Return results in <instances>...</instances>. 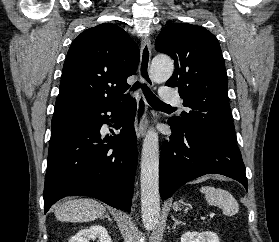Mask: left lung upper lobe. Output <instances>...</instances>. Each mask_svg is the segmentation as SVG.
Listing matches in <instances>:
<instances>
[{
  "label": "left lung upper lobe",
  "mask_w": 279,
  "mask_h": 242,
  "mask_svg": "<svg viewBox=\"0 0 279 242\" xmlns=\"http://www.w3.org/2000/svg\"><path fill=\"white\" fill-rule=\"evenodd\" d=\"M155 47L174 59L175 71L166 85L177 87L183 105L190 108L169 122L193 136L211 134L236 143L228 78L217 38L203 27L174 23L160 32Z\"/></svg>",
  "instance_id": "5c2ea615"
}]
</instances>
